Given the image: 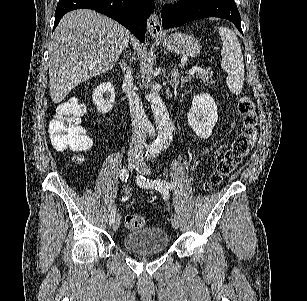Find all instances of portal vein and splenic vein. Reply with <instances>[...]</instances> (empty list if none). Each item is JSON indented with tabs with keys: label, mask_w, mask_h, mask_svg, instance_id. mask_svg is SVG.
Returning a JSON list of instances; mask_svg holds the SVG:
<instances>
[{
	"label": "portal vein and splenic vein",
	"mask_w": 307,
	"mask_h": 301,
	"mask_svg": "<svg viewBox=\"0 0 307 301\" xmlns=\"http://www.w3.org/2000/svg\"><path fill=\"white\" fill-rule=\"evenodd\" d=\"M198 70H201L200 66H193V68L188 70V74H194V72H198Z\"/></svg>",
	"instance_id": "portal-vein-and-splenic-vein-1"
}]
</instances>
